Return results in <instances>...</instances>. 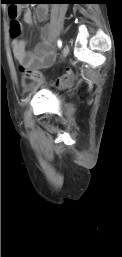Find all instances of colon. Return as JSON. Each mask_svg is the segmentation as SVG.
Returning a JSON list of instances; mask_svg holds the SVG:
<instances>
[{
  "instance_id": "obj_1",
  "label": "colon",
  "mask_w": 122,
  "mask_h": 257,
  "mask_svg": "<svg viewBox=\"0 0 122 257\" xmlns=\"http://www.w3.org/2000/svg\"><path fill=\"white\" fill-rule=\"evenodd\" d=\"M6 10H9L8 14L11 19L10 35L12 38H18L22 32V26L20 21L18 20V11H17L18 5H6ZM21 70H22L25 82L42 80V75L37 70H33L25 67H23ZM77 78H78L77 74L67 73L62 77H60L59 79H57L55 85L60 87L66 84L71 79H77Z\"/></svg>"
}]
</instances>
